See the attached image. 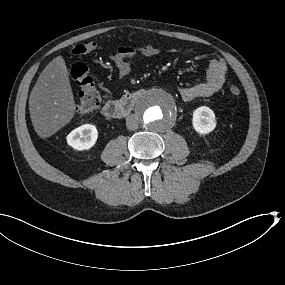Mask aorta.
<instances>
[{"label": "aorta", "mask_w": 285, "mask_h": 285, "mask_svg": "<svg viewBox=\"0 0 285 285\" xmlns=\"http://www.w3.org/2000/svg\"><path fill=\"white\" fill-rule=\"evenodd\" d=\"M135 114L140 126L148 132L160 134L172 129L178 121L180 109L175 97L167 91L155 89L143 94L137 102Z\"/></svg>", "instance_id": "obj_1"}]
</instances>
